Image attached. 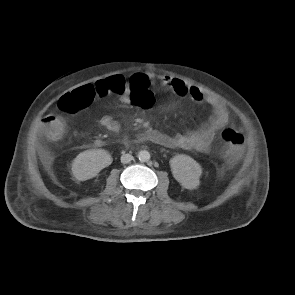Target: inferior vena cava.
I'll return each instance as SVG.
<instances>
[{
    "instance_id": "inferior-vena-cava-1",
    "label": "inferior vena cava",
    "mask_w": 295,
    "mask_h": 295,
    "mask_svg": "<svg viewBox=\"0 0 295 295\" xmlns=\"http://www.w3.org/2000/svg\"><path fill=\"white\" fill-rule=\"evenodd\" d=\"M133 159V156L131 154H123L121 156V162L123 164L129 163Z\"/></svg>"
}]
</instances>
